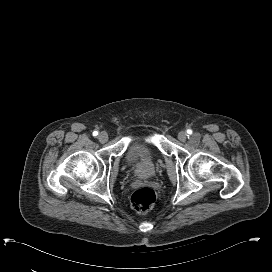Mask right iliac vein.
Wrapping results in <instances>:
<instances>
[{"instance_id": "63e3f726", "label": "right iliac vein", "mask_w": 272, "mask_h": 272, "mask_svg": "<svg viewBox=\"0 0 272 272\" xmlns=\"http://www.w3.org/2000/svg\"><path fill=\"white\" fill-rule=\"evenodd\" d=\"M98 139H99L100 142L105 143L108 140V134L106 132H101L98 135Z\"/></svg>"}]
</instances>
